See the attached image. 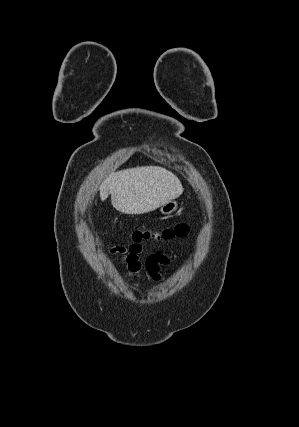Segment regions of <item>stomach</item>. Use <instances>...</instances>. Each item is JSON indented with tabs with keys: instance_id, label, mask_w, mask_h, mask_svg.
I'll return each instance as SVG.
<instances>
[{
	"instance_id": "0dacf381",
	"label": "stomach",
	"mask_w": 299,
	"mask_h": 427,
	"mask_svg": "<svg viewBox=\"0 0 299 427\" xmlns=\"http://www.w3.org/2000/svg\"><path fill=\"white\" fill-rule=\"evenodd\" d=\"M178 208V202L176 200H171L162 206H160V212L164 215H170L175 212Z\"/></svg>"
}]
</instances>
